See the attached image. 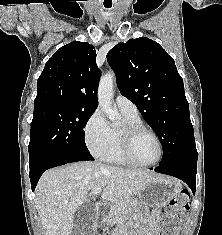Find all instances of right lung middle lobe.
<instances>
[{
  "label": "right lung middle lobe",
  "mask_w": 222,
  "mask_h": 235,
  "mask_svg": "<svg viewBox=\"0 0 222 235\" xmlns=\"http://www.w3.org/2000/svg\"><path fill=\"white\" fill-rule=\"evenodd\" d=\"M94 110L55 105L34 112L28 146L30 168L57 156L92 157L84 128Z\"/></svg>",
  "instance_id": "right-lung-middle-lobe-1"
}]
</instances>
